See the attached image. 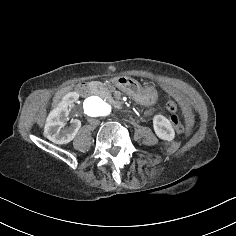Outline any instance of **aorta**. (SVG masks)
<instances>
[{
	"label": "aorta",
	"mask_w": 236,
	"mask_h": 236,
	"mask_svg": "<svg viewBox=\"0 0 236 236\" xmlns=\"http://www.w3.org/2000/svg\"><path fill=\"white\" fill-rule=\"evenodd\" d=\"M82 109L87 118L106 117L111 112V106L99 96L86 98Z\"/></svg>",
	"instance_id": "762f6f07"
}]
</instances>
